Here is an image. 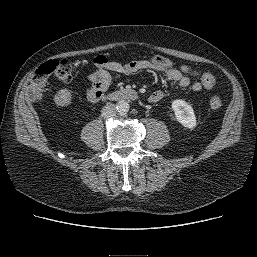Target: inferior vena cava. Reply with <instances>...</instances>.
<instances>
[{"label": "inferior vena cava", "mask_w": 257, "mask_h": 257, "mask_svg": "<svg viewBox=\"0 0 257 257\" xmlns=\"http://www.w3.org/2000/svg\"><path fill=\"white\" fill-rule=\"evenodd\" d=\"M116 106L114 104H107L102 108V116L104 118H110V117H115L116 116Z\"/></svg>", "instance_id": "602c4592"}]
</instances>
